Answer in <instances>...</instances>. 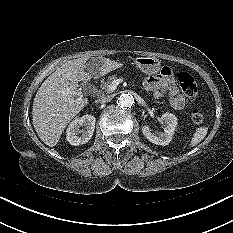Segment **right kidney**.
<instances>
[{"label":"right kidney","mask_w":233,"mask_h":233,"mask_svg":"<svg viewBox=\"0 0 233 233\" xmlns=\"http://www.w3.org/2000/svg\"><path fill=\"white\" fill-rule=\"evenodd\" d=\"M95 122L96 118L88 114L75 118L66 130L67 141L75 146L87 143L93 135ZM81 126H84L83 130L80 129Z\"/></svg>","instance_id":"1"}]
</instances>
